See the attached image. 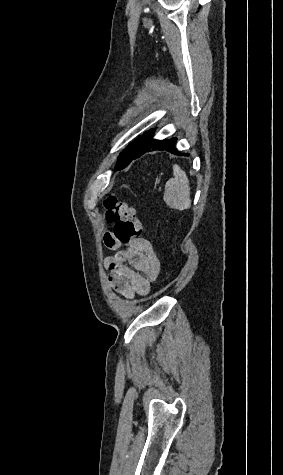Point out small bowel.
<instances>
[{"label":"small bowel","instance_id":"obj_1","mask_svg":"<svg viewBox=\"0 0 283 475\" xmlns=\"http://www.w3.org/2000/svg\"><path fill=\"white\" fill-rule=\"evenodd\" d=\"M114 229L110 223H105L101 231L105 248L117 249L113 255L104 257V266L108 273L110 287L126 299L136 295L144 296L150 291L161 270L160 260L146 238L123 245L122 239H114ZM141 242H148V251H141Z\"/></svg>","mask_w":283,"mask_h":475}]
</instances>
